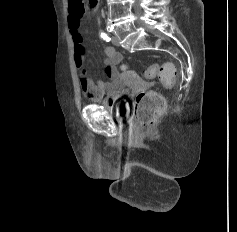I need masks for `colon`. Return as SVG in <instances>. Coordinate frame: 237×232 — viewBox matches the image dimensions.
<instances>
[{"label": "colon", "instance_id": "1", "mask_svg": "<svg viewBox=\"0 0 237 232\" xmlns=\"http://www.w3.org/2000/svg\"><path fill=\"white\" fill-rule=\"evenodd\" d=\"M70 12L76 16H83L85 6L83 0H69ZM143 75L147 78L158 76L161 83L170 87L173 85L176 70L174 65L170 63L153 64L143 71ZM164 109V101L162 97L155 92L140 93L136 98L135 121L141 128L151 126Z\"/></svg>", "mask_w": 237, "mask_h": 232}]
</instances>
